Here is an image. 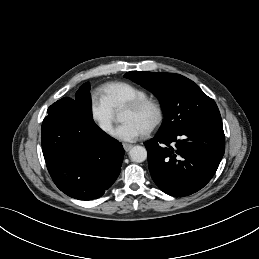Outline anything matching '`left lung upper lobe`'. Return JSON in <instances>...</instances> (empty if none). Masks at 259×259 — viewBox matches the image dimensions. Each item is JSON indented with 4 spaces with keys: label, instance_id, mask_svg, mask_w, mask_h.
<instances>
[{
    "label": "left lung upper lobe",
    "instance_id": "left-lung-upper-lobe-1",
    "mask_svg": "<svg viewBox=\"0 0 259 259\" xmlns=\"http://www.w3.org/2000/svg\"><path fill=\"white\" fill-rule=\"evenodd\" d=\"M124 77L150 90L159 99L165 116L159 134H173L196 125L221 121L214 100L182 75L130 71Z\"/></svg>",
    "mask_w": 259,
    "mask_h": 259
}]
</instances>
